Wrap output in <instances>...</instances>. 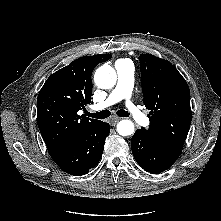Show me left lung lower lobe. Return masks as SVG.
<instances>
[{
    "mask_svg": "<svg viewBox=\"0 0 221 221\" xmlns=\"http://www.w3.org/2000/svg\"><path fill=\"white\" fill-rule=\"evenodd\" d=\"M132 153L137 163L150 173H160L170 168L181 150L166 147L141 128L131 140Z\"/></svg>",
    "mask_w": 221,
    "mask_h": 221,
    "instance_id": "0a47b994",
    "label": "left lung lower lobe"
}]
</instances>
